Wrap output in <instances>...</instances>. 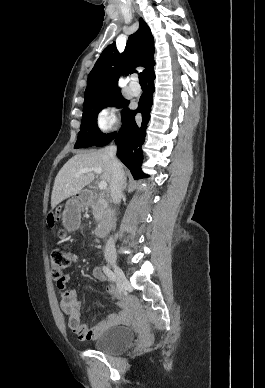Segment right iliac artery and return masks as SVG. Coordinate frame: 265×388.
Here are the masks:
<instances>
[{
	"instance_id": "right-iliac-artery-1",
	"label": "right iliac artery",
	"mask_w": 265,
	"mask_h": 388,
	"mask_svg": "<svg viewBox=\"0 0 265 388\" xmlns=\"http://www.w3.org/2000/svg\"><path fill=\"white\" fill-rule=\"evenodd\" d=\"M104 273L106 274V276L113 282L116 281V277H115V274L113 273L112 270H110L107 266H103L102 267Z\"/></svg>"
}]
</instances>
